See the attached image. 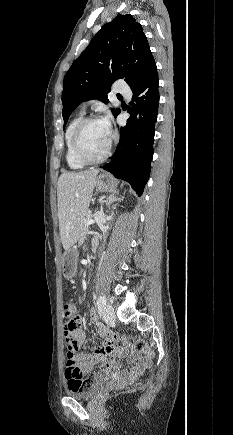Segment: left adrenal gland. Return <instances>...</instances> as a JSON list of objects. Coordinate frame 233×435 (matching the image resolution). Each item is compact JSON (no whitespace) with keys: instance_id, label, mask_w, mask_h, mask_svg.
<instances>
[{"instance_id":"left-adrenal-gland-1","label":"left adrenal gland","mask_w":233,"mask_h":435,"mask_svg":"<svg viewBox=\"0 0 233 435\" xmlns=\"http://www.w3.org/2000/svg\"><path fill=\"white\" fill-rule=\"evenodd\" d=\"M119 195V192H117L116 194H111L110 196H109V198H108V200H107V207L108 208H110V205L112 204V202H115V201H122L124 198L122 197V198H120V197H117Z\"/></svg>"}]
</instances>
